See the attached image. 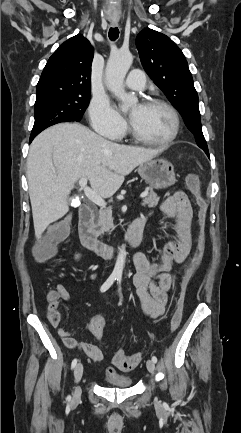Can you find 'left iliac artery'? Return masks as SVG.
<instances>
[{"label": "left iliac artery", "mask_w": 241, "mask_h": 433, "mask_svg": "<svg viewBox=\"0 0 241 433\" xmlns=\"http://www.w3.org/2000/svg\"><path fill=\"white\" fill-rule=\"evenodd\" d=\"M117 281H118V288H119V296H120L121 300H123V295H122V292H121V276H118ZM152 361L154 363H157V357L153 356L152 357Z\"/></svg>", "instance_id": "1"}]
</instances>
